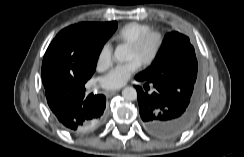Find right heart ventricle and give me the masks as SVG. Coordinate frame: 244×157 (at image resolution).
Returning <instances> with one entry per match:
<instances>
[{"instance_id": "obj_1", "label": "right heart ventricle", "mask_w": 244, "mask_h": 157, "mask_svg": "<svg viewBox=\"0 0 244 157\" xmlns=\"http://www.w3.org/2000/svg\"><path fill=\"white\" fill-rule=\"evenodd\" d=\"M152 30V27L148 24L141 22H128L123 25L116 33L115 39L119 43L130 45L142 34Z\"/></svg>"}]
</instances>
